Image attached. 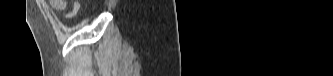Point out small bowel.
Listing matches in <instances>:
<instances>
[{
    "label": "small bowel",
    "instance_id": "small-bowel-1",
    "mask_svg": "<svg viewBox=\"0 0 333 76\" xmlns=\"http://www.w3.org/2000/svg\"><path fill=\"white\" fill-rule=\"evenodd\" d=\"M48 3L54 10H57V11H65L69 7L70 10L67 11L63 16L64 19H66V20L73 19L81 9L80 2L76 1V0H71V1L50 0V1H48Z\"/></svg>",
    "mask_w": 333,
    "mask_h": 76
}]
</instances>
